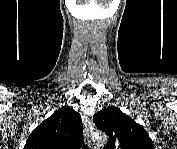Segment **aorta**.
<instances>
[{
	"mask_svg": "<svg viewBox=\"0 0 177 149\" xmlns=\"http://www.w3.org/2000/svg\"><path fill=\"white\" fill-rule=\"evenodd\" d=\"M96 141L100 144H103L107 141V136L105 134H99L96 136Z\"/></svg>",
	"mask_w": 177,
	"mask_h": 149,
	"instance_id": "obj_1",
	"label": "aorta"
}]
</instances>
